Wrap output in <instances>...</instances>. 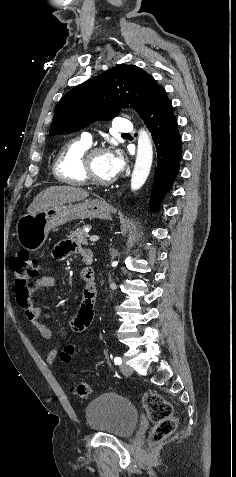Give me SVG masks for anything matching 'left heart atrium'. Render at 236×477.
<instances>
[{
	"label": "left heart atrium",
	"instance_id": "left-heart-atrium-1",
	"mask_svg": "<svg viewBox=\"0 0 236 477\" xmlns=\"http://www.w3.org/2000/svg\"><path fill=\"white\" fill-rule=\"evenodd\" d=\"M108 169L111 178L116 177L123 169L124 162L122 156L118 152L107 153Z\"/></svg>",
	"mask_w": 236,
	"mask_h": 477
}]
</instances>
